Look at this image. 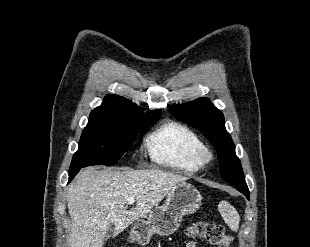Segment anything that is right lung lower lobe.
<instances>
[{"mask_svg": "<svg viewBox=\"0 0 310 247\" xmlns=\"http://www.w3.org/2000/svg\"><path fill=\"white\" fill-rule=\"evenodd\" d=\"M80 169H75V170H70L69 171V181L71 182V180L76 176V174L79 172Z\"/></svg>", "mask_w": 310, "mask_h": 247, "instance_id": "1", "label": "right lung lower lobe"}]
</instances>
